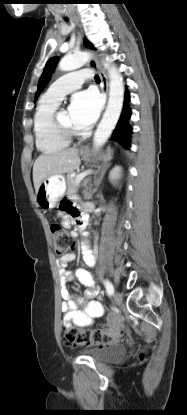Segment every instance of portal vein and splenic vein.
Instances as JSON below:
<instances>
[{
    "instance_id": "18ae733b",
    "label": "portal vein and splenic vein",
    "mask_w": 187,
    "mask_h": 415,
    "mask_svg": "<svg viewBox=\"0 0 187 415\" xmlns=\"http://www.w3.org/2000/svg\"><path fill=\"white\" fill-rule=\"evenodd\" d=\"M90 173H91V171H84V172L80 173L79 175H77L76 183H80V181L83 180Z\"/></svg>"
}]
</instances>
